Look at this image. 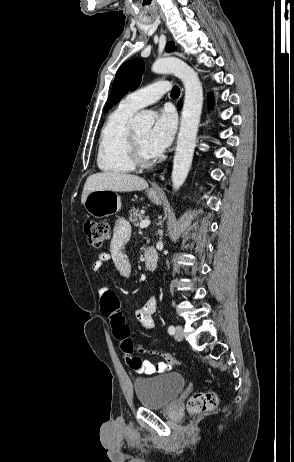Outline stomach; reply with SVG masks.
I'll use <instances>...</instances> for the list:
<instances>
[{"label": "stomach", "instance_id": "0dacf381", "mask_svg": "<svg viewBox=\"0 0 294 462\" xmlns=\"http://www.w3.org/2000/svg\"><path fill=\"white\" fill-rule=\"evenodd\" d=\"M147 195L155 204H161L162 199L157 192L148 190ZM84 207L95 218H103L119 212L121 201L119 195L114 191L94 190L87 195Z\"/></svg>", "mask_w": 294, "mask_h": 462}]
</instances>
